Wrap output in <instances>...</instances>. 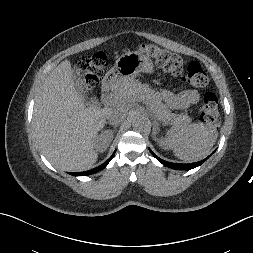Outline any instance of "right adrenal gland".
<instances>
[{"label":"right adrenal gland","mask_w":253,"mask_h":253,"mask_svg":"<svg viewBox=\"0 0 253 253\" xmlns=\"http://www.w3.org/2000/svg\"><path fill=\"white\" fill-rule=\"evenodd\" d=\"M117 126H118V125H114V126H113L114 131H116V130H117Z\"/></svg>","instance_id":"obj_1"}]
</instances>
